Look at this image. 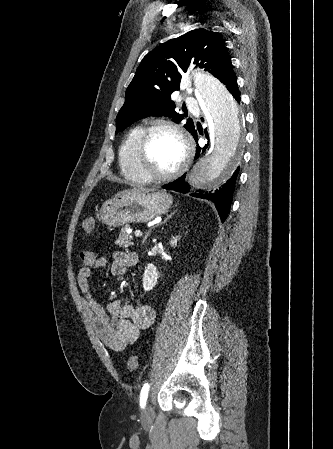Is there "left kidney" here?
I'll use <instances>...</instances> for the list:
<instances>
[{"instance_id":"5707ae66","label":"left kidney","mask_w":333,"mask_h":449,"mask_svg":"<svg viewBox=\"0 0 333 449\" xmlns=\"http://www.w3.org/2000/svg\"><path fill=\"white\" fill-rule=\"evenodd\" d=\"M178 237H173V239L170 241V244L172 246L177 245ZM158 280V272L157 268L153 264H149L145 272L143 274L142 284L145 291H150L154 288Z\"/></svg>"}]
</instances>
